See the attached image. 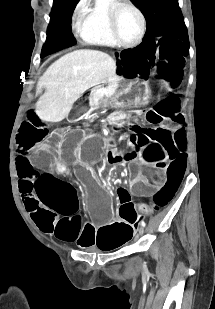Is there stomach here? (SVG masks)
Returning a JSON list of instances; mask_svg holds the SVG:
<instances>
[{
	"label": "stomach",
	"instance_id": "stomach-1",
	"mask_svg": "<svg viewBox=\"0 0 215 309\" xmlns=\"http://www.w3.org/2000/svg\"><path fill=\"white\" fill-rule=\"evenodd\" d=\"M164 83V81H162ZM149 85L148 82L136 80L123 91H121L120 96H124L125 100L130 101L137 98H142L148 92Z\"/></svg>",
	"mask_w": 215,
	"mask_h": 309
}]
</instances>
